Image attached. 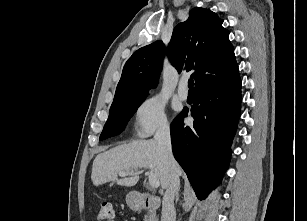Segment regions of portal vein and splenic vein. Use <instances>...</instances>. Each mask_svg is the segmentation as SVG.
<instances>
[{
  "label": "portal vein and splenic vein",
  "instance_id": "1",
  "mask_svg": "<svg viewBox=\"0 0 307 221\" xmlns=\"http://www.w3.org/2000/svg\"><path fill=\"white\" fill-rule=\"evenodd\" d=\"M133 174H136V173L134 171H130V172H121L119 175L121 177H125V176L133 175ZM149 184L153 188H158L160 186L159 179L157 178V176L154 173L149 174Z\"/></svg>",
  "mask_w": 307,
  "mask_h": 221
}]
</instances>
